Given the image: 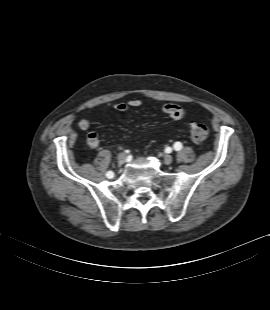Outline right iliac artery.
<instances>
[{
	"instance_id": "1",
	"label": "right iliac artery",
	"mask_w": 270,
	"mask_h": 310,
	"mask_svg": "<svg viewBox=\"0 0 270 310\" xmlns=\"http://www.w3.org/2000/svg\"><path fill=\"white\" fill-rule=\"evenodd\" d=\"M106 175L108 178H112L114 176V173L112 171H108Z\"/></svg>"
}]
</instances>
